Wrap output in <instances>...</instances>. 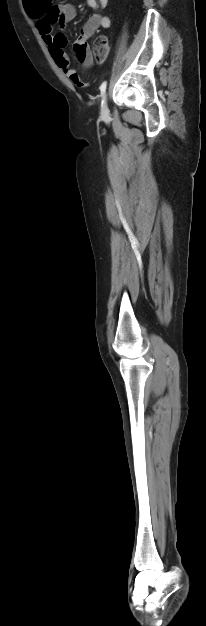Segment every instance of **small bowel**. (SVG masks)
<instances>
[{
	"mask_svg": "<svg viewBox=\"0 0 206 626\" xmlns=\"http://www.w3.org/2000/svg\"><path fill=\"white\" fill-rule=\"evenodd\" d=\"M88 7L94 12L81 28L78 38L75 40L73 49L78 61L86 68L93 64V56L88 45L91 38L99 28H109L111 20L108 16L101 15L98 10L105 8L108 0H86ZM26 11L29 16L36 20L39 33L47 45L49 52L63 73L77 86L86 84L80 75L70 65L65 52L67 37L63 31L54 32L53 24H58L65 29L66 25L76 17V9L72 4L64 3L52 5L51 0H27Z\"/></svg>",
	"mask_w": 206,
	"mask_h": 626,
	"instance_id": "c3829d8e",
	"label": "small bowel"
}]
</instances>
